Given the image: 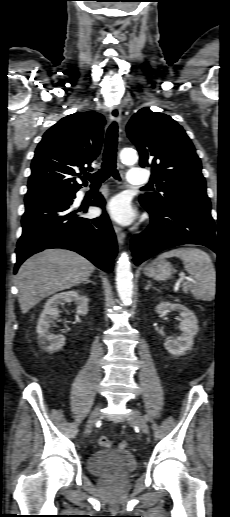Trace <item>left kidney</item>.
<instances>
[{
	"label": "left kidney",
	"instance_id": "obj_1",
	"mask_svg": "<svg viewBox=\"0 0 230 517\" xmlns=\"http://www.w3.org/2000/svg\"><path fill=\"white\" fill-rule=\"evenodd\" d=\"M169 311H178L183 318L180 323L181 335L176 339H167L165 349L174 355H183L193 346V338L198 332V320L194 313L181 304L162 302L156 306V312L162 314Z\"/></svg>",
	"mask_w": 230,
	"mask_h": 517
}]
</instances>
